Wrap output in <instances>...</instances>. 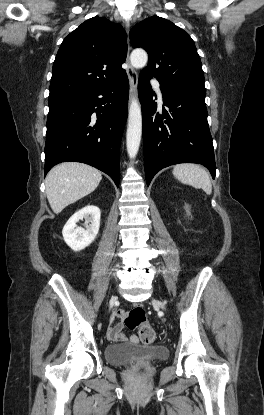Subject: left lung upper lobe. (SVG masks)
I'll use <instances>...</instances> for the list:
<instances>
[{"instance_id": "left-lung-upper-lobe-1", "label": "left lung upper lobe", "mask_w": 264, "mask_h": 415, "mask_svg": "<svg viewBox=\"0 0 264 415\" xmlns=\"http://www.w3.org/2000/svg\"><path fill=\"white\" fill-rule=\"evenodd\" d=\"M133 47H142L149 62L140 74L155 77L160 84L205 90L201 60L187 32L169 20L152 16L130 30Z\"/></svg>"}]
</instances>
